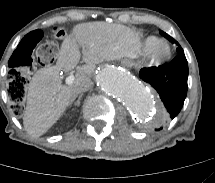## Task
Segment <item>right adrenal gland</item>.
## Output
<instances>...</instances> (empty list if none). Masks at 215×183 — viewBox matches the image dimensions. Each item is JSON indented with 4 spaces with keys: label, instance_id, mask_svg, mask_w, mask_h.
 I'll return each instance as SVG.
<instances>
[{
    "label": "right adrenal gland",
    "instance_id": "obj_1",
    "mask_svg": "<svg viewBox=\"0 0 215 183\" xmlns=\"http://www.w3.org/2000/svg\"><path fill=\"white\" fill-rule=\"evenodd\" d=\"M83 94H80L78 97V100L75 102V105L79 106L80 105V100L82 98Z\"/></svg>",
    "mask_w": 215,
    "mask_h": 183
}]
</instances>
